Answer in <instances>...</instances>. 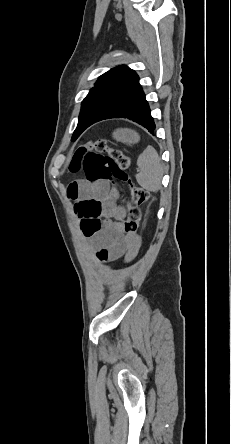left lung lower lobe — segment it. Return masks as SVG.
Segmentation results:
<instances>
[{
	"label": "left lung lower lobe",
	"mask_w": 231,
	"mask_h": 444,
	"mask_svg": "<svg viewBox=\"0 0 231 444\" xmlns=\"http://www.w3.org/2000/svg\"><path fill=\"white\" fill-rule=\"evenodd\" d=\"M109 118H128L145 127L150 133H153L155 124L150 115V108L145 99V94L140 88L133 97L127 100L122 108L115 115ZM106 118V119H109Z\"/></svg>",
	"instance_id": "0a47b994"
}]
</instances>
